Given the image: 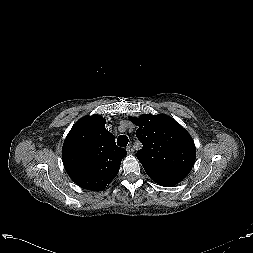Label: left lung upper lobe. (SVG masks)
Wrapping results in <instances>:
<instances>
[{
	"label": "left lung upper lobe",
	"instance_id": "left-lung-upper-lobe-1",
	"mask_svg": "<svg viewBox=\"0 0 253 253\" xmlns=\"http://www.w3.org/2000/svg\"><path fill=\"white\" fill-rule=\"evenodd\" d=\"M129 119L138 126L136 137L143 147L136 155L144 170L190 172L196 158V147L180 124L164 114H143Z\"/></svg>",
	"mask_w": 253,
	"mask_h": 253
}]
</instances>
